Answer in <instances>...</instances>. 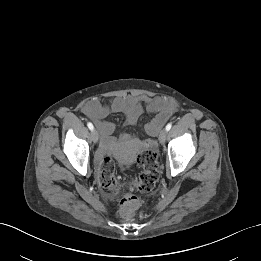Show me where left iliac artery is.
<instances>
[{
    "label": "left iliac artery",
    "instance_id": "1",
    "mask_svg": "<svg viewBox=\"0 0 261 261\" xmlns=\"http://www.w3.org/2000/svg\"><path fill=\"white\" fill-rule=\"evenodd\" d=\"M171 127H172V123H168L167 125H166V131L168 132L170 129H171Z\"/></svg>",
    "mask_w": 261,
    "mask_h": 261
}]
</instances>
